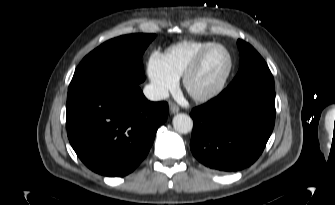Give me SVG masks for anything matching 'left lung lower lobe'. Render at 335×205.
I'll return each instance as SVG.
<instances>
[{
	"instance_id": "1",
	"label": "left lung lower lobe",
	"mask_w": 335,
	"mask_h": 205,
	"mask_svg": "<svg viewBox=\"0 0 335 205\" xmlns=\"http://www.w3.org/2000/svg\"><path fill=\"white\" fill-rule=\"evenodd\" d=\"M190 116L194 157L215 171H239L258 159L273 131L275 88L257 83L228 86L192 109Z\"/></svg>"
}]
</instances>
